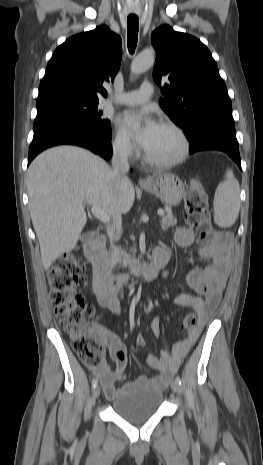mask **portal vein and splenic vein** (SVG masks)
I'll return each mask as SVG.
<instances>
[{"label":"portal vein and splenic vein","instance_id":"portal-vein-and-splenic-vein-1","mask_svg":"<svg viewBox=\"0 0 263 465\" xmlns=\"http://www.w3.org/2000/svg\"><path fill=\"white\" fill-rule=\"evenodd\" d=\"M91 212L92 214L99 220L103 221V222H107L109 223L110 222V216L100 207V206H92L91 207ZM158 215L159 216H163L164 215V211L163 210H159L158 211Z\"/></svg>","mask_w":263,"mask_h":465}]
</instances>
